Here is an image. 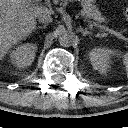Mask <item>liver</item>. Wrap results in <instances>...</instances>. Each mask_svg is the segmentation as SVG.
<instances>
[{
  "label": "liver",
  "mask_w": 128,
  "mask_h": 128,
  "mask_svg": "<svg viewBox=\"0 0 128 128\" xmlns=\"http://www.w3.org/2000/svg\"><path fill=\"white\" fill-rule=\"evenodd\" d=\"M48 10L28 0H0V60L36 26L39 13Z\"/></svg>",
  "instance_id": "liver-1"
}]
</instances>
